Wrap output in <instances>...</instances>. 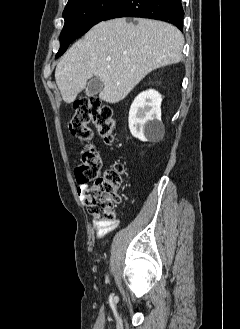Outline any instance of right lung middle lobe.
<instances>
[{
    "mask_svg": "<svg viewBox=\"0 0 240 329\" xmlns=\"http://www.w3.org/2000/svg\"><path fill=\"white\" fill-rule=\"evenodd\" d=\"M121 0H74L64 9L65 24L60 34V49L56 58L62 55L68 45L76 38L85 34L92 26L102 19Z\"/></svg>",
    "mask_w": 240,
    "mask_h": 329,
    "instance_id": "obj_1",
    "label": "right lung middle lobe"
}]
</instances>
